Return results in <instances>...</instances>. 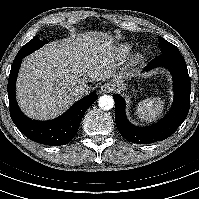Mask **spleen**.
I'll return each mask as SVG.
<instances>
[{"instance_id": "obj_1", "label": "spleen", "mask_w": 199, "mask_h": 199, "mask_svg": "<svg viewBox=\"0 0 199 199\" xmlns=\"http://www.w3.org/2000/svg\"><path fill=\"white\" fill-rule=\"evenodd\" d=\"M164 109V101L161 98H149L138 104L137 114L139 118L151 121L156 119Z\"/></svg>"}]
</instances>
